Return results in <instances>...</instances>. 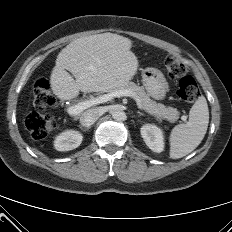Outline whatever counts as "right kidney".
Instances as JSON below:
<instances>
[{"mask_svg": "<svg viewBox=\"0 0 232 232\" xmlns=\"http://www.w3.org/2000/svg\"><path fill=\"white\" fill-rule=\"evenodd\" d=\"M83 136L78 131L67 130L58 135L54 147L58 151H70L80 146Z\"/></svg>", "mask_w": 232, "mask_h": 232, "instance_id": "obj_1", "label": "right kidney"}]
</instances>
